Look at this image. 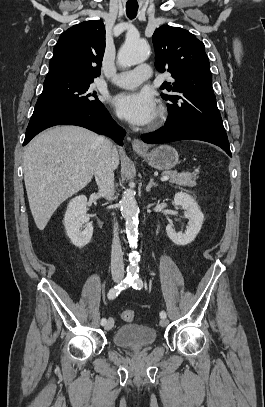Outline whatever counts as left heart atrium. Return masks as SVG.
Masks as SVG:
<instances>
[{
	"label": "left heart atrium",
	"mask_w": 265,
	"mask_h": 407,
	"mask_svg": "<svg viewBox=\"0 0 265 407\" xmlns=\"http://www.w3.org/2000/svg\"><path fill=\"white\" fill-rule=\"evenodd\" d=\"M116 110L131 124L147 125L156 116L157 107L148 91L124 92L113 98Z\"/></svg>",
	"instance_id": "left-heart-atrium-1"
}]
</instances>
